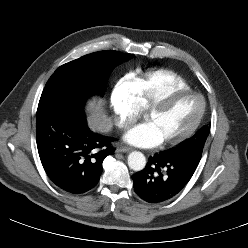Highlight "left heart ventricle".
<instances>
[{"label": "left heart ventricle", "mask_w": 248, "mask_h": 248, "mask_svg": "<svg viewBox=\"0 0 248 248\" xmlns=\"http://www.w3.org/2000/svg\"><path fill=\"white\" fill-rule=\"evenodd\" d=\"M201 108L200 99L196 96L181 97L164 109L146 116L161 141L175 138L185 132L196 120Z\"/></svg>", "instance_id": "b2bd125f"}]
</instances>
